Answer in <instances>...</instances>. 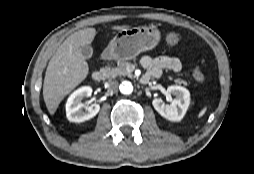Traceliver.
Instances as JSON below:
<instances>
[{
    "label": "liver",
    "mask_w": 254,
    "mask_h": 174,
    "mask_svg": "<svg viewBox=\"0 0 254 174\" xmlns=\"http://www.w3.org/2000/svg\"><path fill=\"white\" fill-rule=\"evenodd\" d=\"M127 28L112 27L119 31ZM95 36V28H85L71 34L49 61L43 84V98L51 115L56 112L64 97L87 77L89 66L80 48L91 44Z\"/></svg>",
    "instance_id": "obj_1"
}]
</instances>
